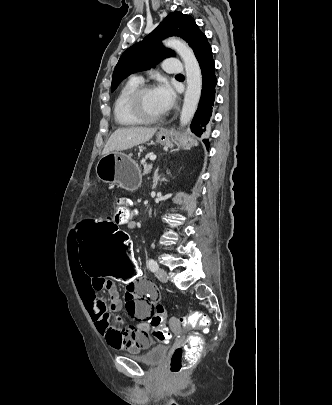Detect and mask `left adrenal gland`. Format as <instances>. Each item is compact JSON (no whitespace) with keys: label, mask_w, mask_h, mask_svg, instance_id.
<instances>
[{"label":"left adrenal gland","mask_w":332,"mask_h":405,"mask_svg":"<svg viewBox=\"0 0 332 405\" xmlns=\"http://www.w3.org/2000/svg\"><path fill=\"white\" fill-rule=\"evenodd\" d=\"M159 168L156 169L153 176V188L157 186L158 181L160 180V176L158 175Z\"/></svg>","instance_id":"obj_1"}]
</instances>
